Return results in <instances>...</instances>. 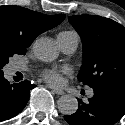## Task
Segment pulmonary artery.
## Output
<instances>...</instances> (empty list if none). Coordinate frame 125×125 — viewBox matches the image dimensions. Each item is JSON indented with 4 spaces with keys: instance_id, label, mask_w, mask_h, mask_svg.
<instances>
[{
    "instance_id": "e3ab8cb5",
    "label": "pulmonary artery",
    "mask_w": 125,
    "mask_h": 125,
    "mask_svg": "<svg viewBox=\"0 0 125 125\" xmlns=\"http://www.w3.org/2000/svg\"><path fill=\"white\" fill-rule=\"evenodd\" d=\"M57 41L61 49L66 53H73L79 44V37L75 32L72 33H59L57 36ZM14 70L21 71L23 67L20 65H14ZM89 96L93 95V91H89Z\"/></svg>"
}]
</instances>
